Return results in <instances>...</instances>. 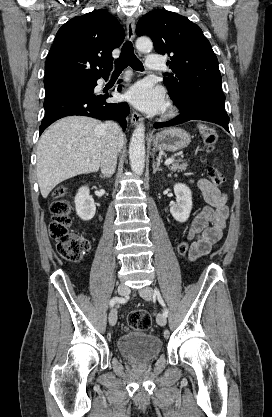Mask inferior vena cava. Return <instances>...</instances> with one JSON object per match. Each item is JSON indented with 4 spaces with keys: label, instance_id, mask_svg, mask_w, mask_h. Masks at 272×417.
I'll use <instances>...</instances> for the list:
<instances>
[{
    "label": "inferior vena cava",
    "instance_id": "inferior-vena-cava-1",
    "mask_svg": "<svg viewBox=\"0 0 272 417\" xmlns=\"http://www.w3.org/2000/svg\"><path fill=\"white\" fill-rule=\"evenodd\" d=\"M102 155L101 172L110 177L116 169L117 155L120 151V138L123 135L120 126L113 121H107L102 125Z\"/></svg>",
    "mask_w": 272,
    "mask_h": 417
}]
</instances>
